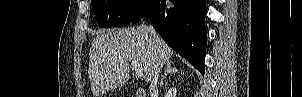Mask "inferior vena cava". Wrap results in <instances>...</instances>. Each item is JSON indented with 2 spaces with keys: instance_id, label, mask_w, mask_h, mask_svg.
I'll use <instances>...</instances> for the list:
<instances>
[{
  "instance_id": "602c4592",
  "label": "inferior vena cava",
  "mask_w": 302,
  "mask_h": 97,
  "mask_svg": "<svg viewBox=\"0 0 302 97\" xmlns=\"http://www.w3.org/2000/svg\"><path fill=\"white\" fill-rule=\"evenodd\" d=\"M147 30L153 41L158 44L159 43V36L154 28V26L149 25L147 26ZM163 60L160 57L158 65L154 67L152 77H151V82H150V95L151 97H154L158 95V88H157V83H158V78L160 75V71L163 67Z\"/></svg>"
}]
</instances>
